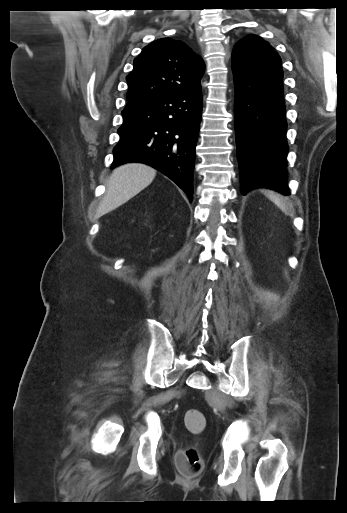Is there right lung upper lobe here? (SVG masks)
<instances>
[{
  "instance_id": "cb5924a9",
  "label": "right lung upper lobe",
  "mask_w": 347,
  "mask_h": 513,
  "mask_svg": "<svg viewBox=\"0 0 347 513\" xmlns=\"http://www.w3.org/2000/svg\"><path fill=\"white\" fill-rule=\"evenodd\" d=\"M205 64L182 41L162 38L144 47L127 76L126 108L201 90Z\"/></svg>"
}]
</instances>
